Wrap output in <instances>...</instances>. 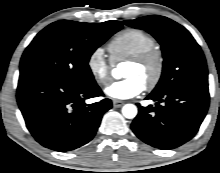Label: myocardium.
<instances>
[{
    "label": "myocardium",
    "instance_id": "f54148a6",
    "mask_svg": "<svg viewBox=\"0 0 220 173\" xmlns=\"http://www.w3.org/2000/svg\"><path fill=\"white\" fill-rule=\"evenodd\" d=\"M128 63L140 66L153 68V72L149 80L144 84L147 90H153L157 87L164 72V58L161 51L157 49H151L141 54L128 59Z\"/></svg>",
    "mask_w": 220,
    "mask_h": 173
}]
</instances>
